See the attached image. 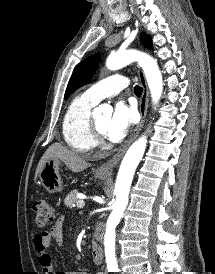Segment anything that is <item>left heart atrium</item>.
<instances>
[{"instance_id": "obj_1", "label": "left heart atrium", "mask_w": 215, "mask_h": 274, "mask_svg": "<svg viewBox=\"0 0 215 274\" xmlns=\"http://www.w3.org/2000/svg\"><path fill=\"white\" fill-rule=\"evenodd\" d=\"M136 120V113L133 108L124 103H118L109 119L105 134L112 142L121 141L128 133Z\"/></svg>"}]
</instances>
